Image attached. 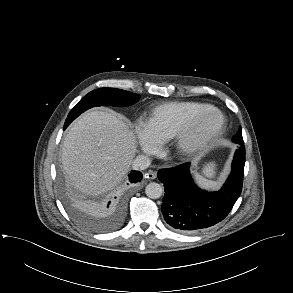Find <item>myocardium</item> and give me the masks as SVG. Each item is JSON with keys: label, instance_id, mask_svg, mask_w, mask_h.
<instances>
[{"label": "myocardium", "instance_id": "1", "mask_svg": "<svg viewBox=\"0 0 293 293\" xmlns=\"http://www.w3.org/2000/svg\"><path fill=\"white\" fill-rule=\"evenodd\" d=\"M210 114L218 116V122L209 130H202V124ZM226 116L215 107L203 110L193 116L184 128L173 138L172 150L178 156L194 155L210 146L224 131Z\"/></svg>", "mask_w": 293, "mask_h": 293}]
</instances>
